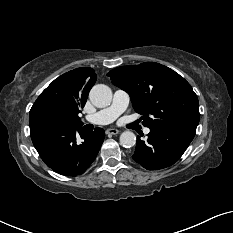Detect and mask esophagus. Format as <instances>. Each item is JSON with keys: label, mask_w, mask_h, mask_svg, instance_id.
<instances>
[{"label": "esophagus", "mask_w": 233, "mask_h": 233, "mask_svg": "<svg viewBox=\"0 0 233 233\" xmlns=\"http://www.w3.org/2000/svg\"><path fill=\"white\" fill-rule=\"evenodd\" d=\"M106 133L108 135H117L119 133V130L115 129V128H110L106 131Z\"/></svg>", "instance_id": "34e87169"}]
</instances>
